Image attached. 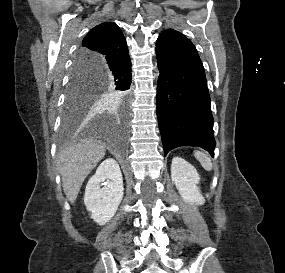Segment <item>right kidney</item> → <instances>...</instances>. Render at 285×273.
Masks as SVG:
<instances>
[{"label": "right kidney", "instance_id": "right-kidney-1", "mask_svg": "<svg viewBox=\"0 0 285 273\" xmlns=\"http://www.w3.org/2000/svg\"><path fill=\"white\" fill-rule=\"evenodd\" d=\"M123 191L118 163L112 158L104 160L85 189L84 203L91 212V218L99 225H105L116 213Z\"/></svg>", "mask_w": 285, "mask_h": 273}]
</instances>
